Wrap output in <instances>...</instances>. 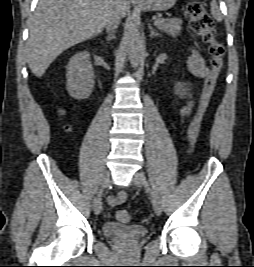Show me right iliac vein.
<instances>
[{"label": "right iliac vein", "instance_id": "obj_1", "mask_svg": "<svg viewBox=\"0 0 254 267\" xmlns=\"http://www.w3.org/2000/svg\"><path fill=\"white\" fill-rule=\"evenodd\" d=\"M110 183V173L106 172L100 182L101 188L97 194V196L94 198L93 200V211L96 215H99L101 213L102 210V200H101V194L104 188H106L108 186V184Z\"/></svg>", "mask_w": 254, "mask_h": 267}]
</instances>
